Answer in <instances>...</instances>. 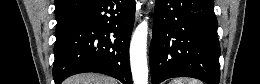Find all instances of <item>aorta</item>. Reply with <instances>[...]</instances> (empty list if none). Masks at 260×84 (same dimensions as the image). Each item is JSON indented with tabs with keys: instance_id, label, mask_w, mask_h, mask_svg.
I'll use <instances>...</instances> for the list:
<instances>
[{
	"instance_id": "762f6f07",
	"label": "aorta",
	"mask_w": 260,
	"mask_h": 84,
	"mask_svg": "<svg viewBox=\"0 0 260 84\" xmlns=\"http://www.w3.org/2000/svg\"><path fill=\"white\" fill-rule=\"evenodd\" d=\"M147 35L148 23L147 20H143L135 29L130 44V63L134 84L148 83Z\"/></svg>"
}]
</instances>
